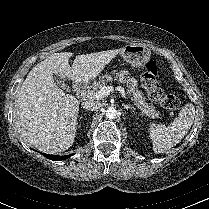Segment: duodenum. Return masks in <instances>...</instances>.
<instances>
[{
  "mask_svg": "<svg viewBox=\"0 0 209 209\" xmlns=\"http://www.w3.org/2000/svg\"><path fill=\"white\" fill-rule=\"evenodd\" d=\"M83 87H84V84H83L82 82H76V83L74 84V90H75L76 92L81 91Z\"/></svg>",
  "mask_w": 209,
  "mask_h": 209,
  "instance_id": "410a0bca",
  "label": "duodenum"
}]
</instances>
